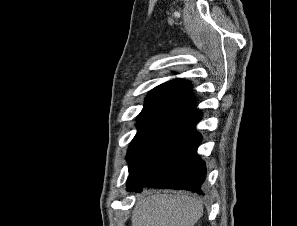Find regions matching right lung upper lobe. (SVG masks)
I'll list each match as a JSON object with an SVG mask.
<instances>
[{
    "label": "right lung upper lobe",
    "instance_id": "1",
    "mask_svg": "<svg viewBox=\"0 0 297 226\" xmlns=\"http://www.w3.org/2000/svg\"><path fill=\"white\" fill-rule=\"evenodd\" d=\"M191 84L184 80H172L155 87L147 96L137 120L169 121L195 104Z\"/></svg>",
    "mask_w": 297,
    "mask_h": 226
}]
</instances>
